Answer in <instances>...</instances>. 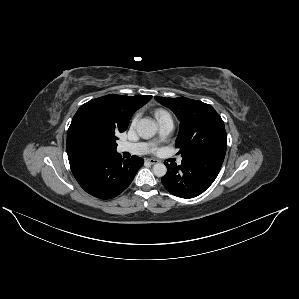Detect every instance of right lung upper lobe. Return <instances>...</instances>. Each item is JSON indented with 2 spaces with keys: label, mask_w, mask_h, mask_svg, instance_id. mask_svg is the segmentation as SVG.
<instances>
[{
  "label": "right lung upper lobe",
  "mask_w": 299,
  "mask_h": 299,
  "mask_svg": "<svg viewBox=\"0 0 299 299\" xmlns=\"http://www.w3.org/2000/svg\"><path fill=\"white\" fill-rule=\"evenodd\" d=\"M152 96H123L110 94L83 104L74 115L67 133L68 157L89 151L83 144L81 130L88 122L111 125L124 132L133 113Z\"/></svg>",
  "instance_id": "cb5924a9"
}]
</instances>
